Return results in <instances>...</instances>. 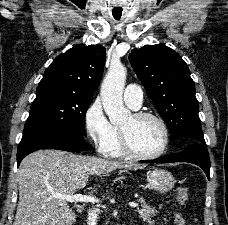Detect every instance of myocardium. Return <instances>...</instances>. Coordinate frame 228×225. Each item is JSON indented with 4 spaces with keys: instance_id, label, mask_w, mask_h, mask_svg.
<instances>
[{
    "instance_id": "obj_1",
    "label": "myocardium",
    "mask_w": 228,
    "mask_h": 225,
    "mask_svg": "<svg viewBox=\"0 0 228 225\" xmlns=\"http://www.w3.org/2000/svg\"><path fill=\"white\" fill-rule=\"evenodd\" d=\"M133 116L137 120H142L145 118H152V119L156 120L157 122H159V124L162 126L163 131H164V136H165L164 144H163L162 148L160 149V151H158L155 154H152V155L141 154L131 144L129 136L126 133V131L124 129H121V143H122V148H123L124 152L128 156L135 158V159H139V160H155V159L162 157L165 154V152L167 151L169 143H170V130H169V127H168L167 123L165 122V120L162 117H160L159 115L150 113V112H137V113L133 114Z\"/></svg>"
}]
</instances>
